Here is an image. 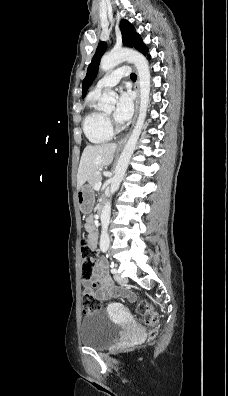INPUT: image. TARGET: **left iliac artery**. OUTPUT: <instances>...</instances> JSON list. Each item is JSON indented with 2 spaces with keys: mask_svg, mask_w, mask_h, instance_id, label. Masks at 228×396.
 Masks as SVG:
<instances>
[{
  "mask_svg": "<svg viewBox=\"0 0 228 396\" xmlns=\"http://www.w3.org/2000/svg\"><path fill=\"white\" fill-rule=\"evenodd\" d=\"M116 272H117V270L114 268L113 265H111V273H112V274H115Z\"/></svg>",
  "mask_w": 228,
  "mask_h": 396,
  "instance_id": "44dca946",
  "label": "left iliac artery"
}]
</instances>
